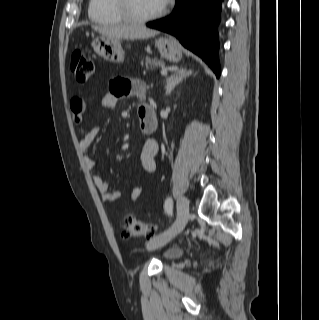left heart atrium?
Here are the masks:
<instances>
[{
	"mask_svg": "<svg viewBox=\"0 0 319 320\" xmlns=\"http://www.w3.org/2000/svg\"><path fill=\"white\" fill-rule=\"evenodd\" d=\"M169 0H158V3L161 7H165Z\"/></svg>",
	"mask_w": 319,
	"mask_h": 320,
	"instance_id": "obj_1",
	"label": "left heart atrium"
}]
</instances>
